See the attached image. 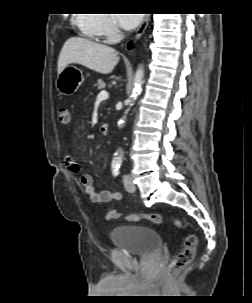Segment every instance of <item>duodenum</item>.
<instances>
[{"mask_svg": "<svg viewBox=\"0 0 252 303\" xmlns=\"http://www.w3.org/2000/svg\"><path fill=\"white\" fill-rule=\"evenodd\" d=\"M108 131H109V124L108 123L102 124L100 127V133L102 135H106L108 133Z\"/></svg>", "mask_w": 252, "mask_h": 303, "instance_id": "obj_1", "label": "duodenum"}]
</instances>
